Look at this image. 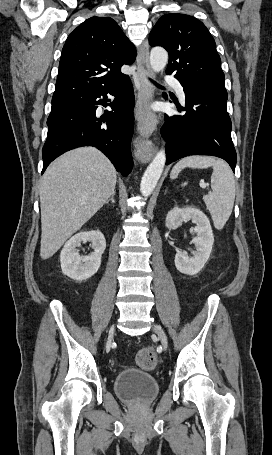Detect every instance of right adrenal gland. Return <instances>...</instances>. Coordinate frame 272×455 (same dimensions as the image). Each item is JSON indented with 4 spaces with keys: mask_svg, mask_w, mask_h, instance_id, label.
I'll list each match as a JSON object with an SVG mask.
<instances>
[{
    "mask_svg": "<svg viewBox=\"0 0 272 455\" xmlns=\"http://www.w3.org/2000/svg\"><path fill=\"white\" fill-rule=\"evenodd\" d=\"M114 196H115V191L112 193L111 197L106 201V204H108L109 202H112L114 204L115 203Z\"/></svg>",
    "mask_w": 272,
    "mask_h": 455,
    "instance_id": "1",
    "label": "right adrenal gland"
}]
</instances>
